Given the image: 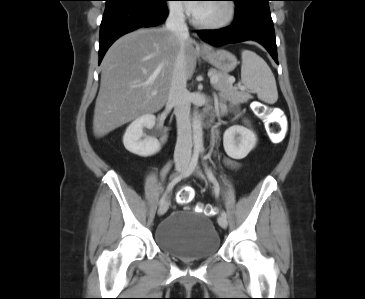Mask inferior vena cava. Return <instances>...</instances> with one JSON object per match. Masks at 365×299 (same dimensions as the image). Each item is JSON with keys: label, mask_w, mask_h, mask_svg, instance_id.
<instances>
[{"label": "inferior vena cava", "mask_w": 365, "mask_h": 299, "mask_svg": "<svg viewBox=\"0 0 365 299\" xmlns=\"http://www.w3.org/2000/svg\"><path fill=\"white\" fill-rule=\"evenodd\" d=\"M166 29L177 37L180 44V50L175 60L171 87L168 95V102L174 106V113L177 121V143L174 158H190L192 150V130L190 122L191 99L186 88L187 77L184 53V42L189 37V32L181 8H171L166 20Z\"/></svg>", "instance_id": "obj_1"}]
</instances>
